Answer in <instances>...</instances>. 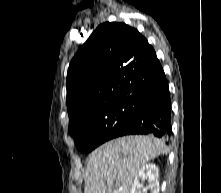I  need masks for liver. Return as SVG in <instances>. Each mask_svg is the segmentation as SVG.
Instances as JSON below:
<instances>
[{"mask_svg": "<svg viewBox=\"0 0 221 193\" xmlns=\"http://www.w3.org/2000/svg\"><path fill=\"white\" fill-rule=\"evenodd\" d=\"M167 152L165 142L153 136H125L106 142L89 156L84 193H131L140 169Z\"/></svg>", "mask_w": 221, "mask_h": 193, "instance_id": "obj_1", "label": "liver"}]
</instances>
